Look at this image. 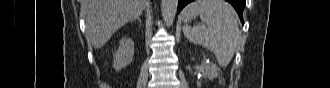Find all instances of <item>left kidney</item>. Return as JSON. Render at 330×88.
<instances>
[{
  "instance_id": "5707ae66",
  "label": "left kidney",
  "mask_w": 330,
  "mask_h": 88,
  "mask_svg": "<svg viewBox=\"0 0 330 88\" xmlns=\"http://www.w3.org/2000/svg\"><path fill=\"white\" fill-rule=\"evenodd\" d=\"M205 61H206V58L204 57L203 63H205ZM207 66H209V68H210V73L203 75V77L210 78V79L216 77L218 75L219 68L213 63H208Z\"/></svg>"
}]
</instances>
